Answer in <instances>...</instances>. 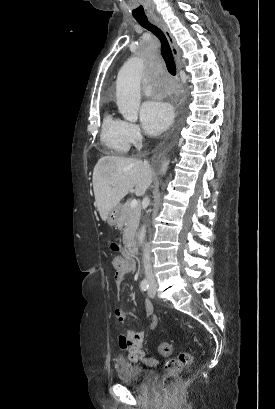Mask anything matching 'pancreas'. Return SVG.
Wrapping results in <instances>:
<instances>
[{
  "label": "pancreas",
  "mask_w": 275,
  "mask_h": 409,
  "mask_svg": "<svg viewBox=\"0 0 275 409\" xmlns=\"http://www.w3.org/2000/svg\"><path fill=\"white\" fill-rule=\"evenodd\" d=\"M141 215V207L137 205L134 209H131V200H127L125 205H122L120 219L117 223L118 227H122L124 223H127L123 233V243L125 247H129L131 239H133L136 229H138Z\"/></svg>",
  "instance_id": "obj_1"
}]
</instances>
